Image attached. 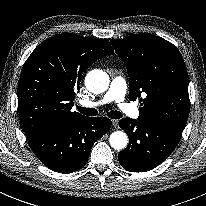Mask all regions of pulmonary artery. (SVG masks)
<instances>
[{
    "label": "pulmonary artery",
    "instance_id": "1",
    "mask_svg": "<svg viewBox=\"0 0 206 206\" xmlns=\"http://www.w3.org/2000/svg\"><path fill=\"white\" fill-rule=\"evenodd\" d=\"M126 89L127 86L125 80L122 77L117 76L111 81L109 89L102 99L98 101H83L81 102V105L86 108H93L110 102H116L127 115L137 118L139 116L138 109L123 102Z\"/></svg>",
    "mask_w": 206,
    "mask_h": 206
}]
</instances>
